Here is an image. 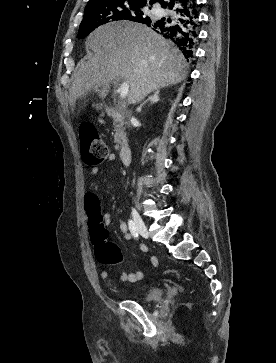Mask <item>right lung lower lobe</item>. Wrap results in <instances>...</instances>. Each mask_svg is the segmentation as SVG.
Returning a JSON list of instances; mask_svg holds the SVG:
<instances>
[{
    "mask_svg": "<svg viewBox=\"0 0 276 363\" xmlns=\"http://www.w3.org/2000/svg\"><path fill=\"white\" fill-rule=\"evenodd\" d=\"M197 0H165L161 7L171 11L169 17L153 22L145 20L148 26L171 40L185 58L193 57L198 30Z\"/></svg>",
    "mask_w": 276,
    "mask_h": 363,
    "instance_id": "1",
    "label": "right lung lower lobe"
}]
</instances>
